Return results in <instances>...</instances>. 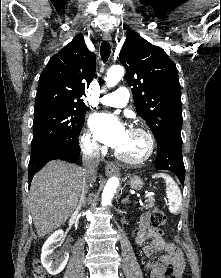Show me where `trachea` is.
I'll list each match as a JSON object with an SVG mask.
<instances>
[{
	"label": "trachea",
	"instance_id": "3493384b",
	"mask_svg": "<svg viewBox=\"0 0 221 278\" xmlns=\"http://www.w3.org/2000/svg\"><path fill=\"white\" fill-rule=\"evenodd\" d=\"M110 44L106 41H104L102 44H101V48H100V55H101V58L103 60V62H106L109 58V55H110Z\"/></svg>",
	"mask_w": 221,
	"mask_h": 278
}]
</instances>
